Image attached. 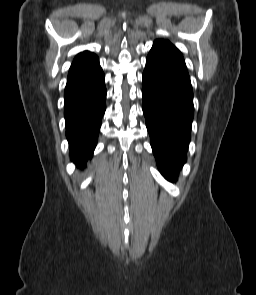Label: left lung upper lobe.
I'll list each match as a JSON object with an SVG mask.
<instances>
[{
    "label": "left lung upper lobe",
    "mask_w": 256,
    "mask_h": 295,
    "mask_svg": "<svg viewBox=\"0 0 256 295\" xmlns=\"http://www.w3.org/2000/svg\"><path fill=\"white\" fill-rule=\"evenodd\" d=\"M146 63L189 77L181 52L167 40H155Z\"/></svg>",
    "instance_id": "obj_1"
}]
</instances>
